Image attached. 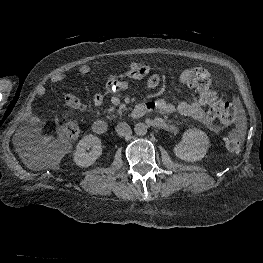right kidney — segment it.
I'll use <instances>...</instances> for the list:
<instances>
[{
	"label": "right kidney",
	"mask_w": 263,
	"mask_h": 263,
	"mask_svg": "<svg viewBox=\"0 0 263 263\" xmlns=\"http://www.w3.org/2000/svg\"><path fill=\"white\" fill-rule=\"evenodd\" d=\"M91 148L88 153L86 150ZM102 154L101 140L94 135L83 137L76 146L74 162L80 167L92 166Z\"/></svg>",
	"instance_id": "ca27d5eb"
}]
</instances>
